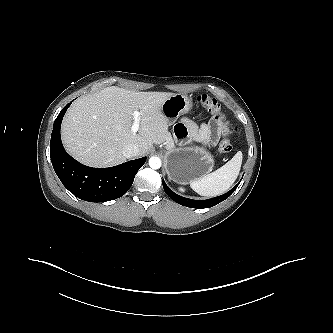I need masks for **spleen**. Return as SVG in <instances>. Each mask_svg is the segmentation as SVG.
<instances>
[{"label":"spleen","mask_w":333,"mask_h":333,"mask_svg":"<svg viewBox=\"0 0 333 333\" xmlns=\"http://www.w3.org/2000/svg\"><path fill=\"white\" fill-rule=\"evenodd\" d=\"M242 152L238 151L230 161L199 180L190 182V187L202 196H217L226 192L237 179L241 165Z\"/></svg>","instance_id":"spleen-1"}]
</instances>
